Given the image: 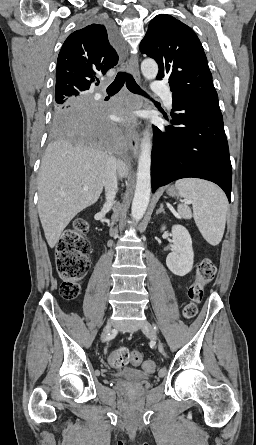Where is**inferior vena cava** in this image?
I'll return each mask as SVG.
<instances>
[{"mask_svg": "<svg viewBox=\"0 0 256 445\" xmlns=\"http://www.w3.org/2000/svg\"><path fill=\"white\" fill-rule=\"evenodd\" d=\"M117 170L118 161L114 156L107 158V165L104 175V187L106 195L105 206L111 207L114 204V199L117 193Z\"/></svg>", "mask_w": 256, "mask_h": 445, "instance_id": "obj_1", "label": "inferior vena cava"}]
</instances>
